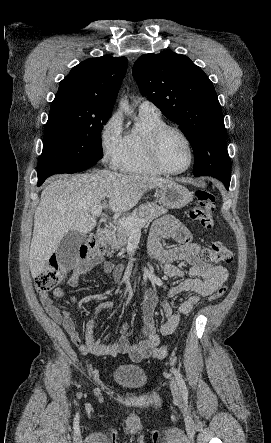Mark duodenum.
<instances>
[{"instance_id":"obj_1","label":"duodenum","mask_w":271,"mask_h":443,"mask_svg":"<svg viewBox=\"0 0 271 443\" xmlns=\"http://www.w3.org/2000/svg\"><path fill=\"white\" fill-rule=\"evenodd\" d=\"M97 238L102 241H109L112 239V232L107 229H100L97 231Z\"/></svg>"}]
</instances>
